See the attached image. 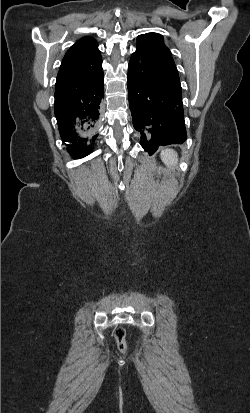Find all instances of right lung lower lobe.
Instances as JSON below:
<instances>
[{"label":"right lung lower lobe","instance_id":"98d812e1","mask_svg":"<svg viewBox=\"0 0 250 413\" xmlns=\"http://www.w3.org/2000/svg\"><path fill=\"white\" fill-rule=\"evenodd\" d=\"M103 70L89 82L55 88V116L68 153L75 159L93 151L100 104L104 98Z\"/></svg>","mask_w":250,"mask_h":413}]
</instances>
